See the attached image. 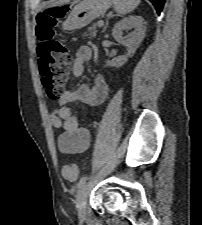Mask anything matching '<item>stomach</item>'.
Listing matches in <instances>:
<instances>
[{
    "instance_id": "1",
    "label": "stomach",
    "mask_w": 202,
    "mask_h": 225,
    "mask_svg": "<svg viewBox=\"0 0 202 225\" xmlns=\"http://www.w3.org/2000/svg\"><path fill=\"white\" fill-rule=\"evenodd\" d=\"M113 0H83L74 7H69V14L62 23L64 31L81 29L94 19L103 15L112 5ZM66 5H61L64 7Z\"/></svg>"
}]
</instances>
